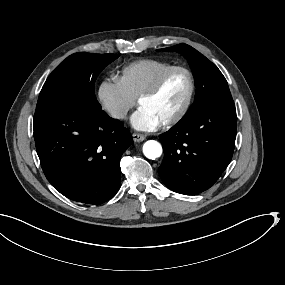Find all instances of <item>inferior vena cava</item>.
<instances>
[{"instance_id": "1", "label": "inferior vena cava", "mask_w": 285, "mask_h": 285, "mask_svg": "<svg viewBox=\"0 0 285 285\" xmlns=\"http://www.w3.org/2000/svg\"><path fill=\"white\" fill-rule=\"evenodd\" d=\"M129 107L126 105L110 106L107 108L108 113L113 118L123 119L128 113Z\"/></svg>"}]
</instances>
